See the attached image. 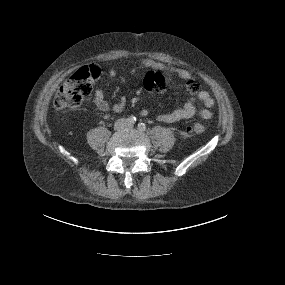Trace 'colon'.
I'll return each mask as SVG.
<instances>
[{
    "label": "colon",
    "mask_w": 285,
    "mask_h": 285,
    "mask_svg": "<svg viewBox=\"0 0 285 285\" xmlns=\"http://www.w3.org/2000/svg\"><path fill=\"white\" fill-rule=\"evenodd\" d=\"M99 76V68L95 65H84L76 70L71 77L59 88L54 97L56 109L64 110L81 105L90 94L92 83ZM205 127L201 123H193L187 127L191 134L204 132Z\"/></svg>",
    "instance_id": "colon-1"
}]
</instances>
